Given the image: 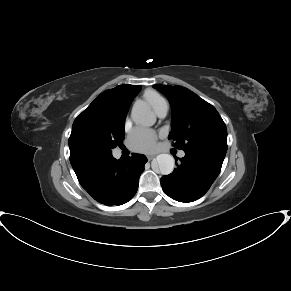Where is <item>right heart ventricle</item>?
<instances>
[{
  "instance_id": "1",
  "label": "right heart ventricle",
  "mask_w": 291,
  "mask_h": 291,
  "mask_svg": "<svg viewBox=\"0 0 291 291\" xmlns=\"http://www.w3.org/2000/svg\"><path fill=\"white\" fill-rule=\"evenodd\" d=\"M144 99L155 111H157L161 104L165 102V99L154 90H146L144 93Z\"/></svg>"
}]
</instances>
